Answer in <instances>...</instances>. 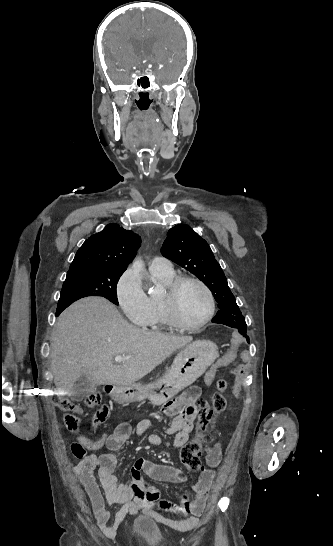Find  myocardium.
Listing matches in <instances>:
<instances>
[{
	"label": "myocardium",
	"mask_w": 333,
	"mask_h": 546,
	"mask_svg": "<svg viewBox=\"0 0 333 546\" xmlns=\"http://www.w3.org/2000/svg\"><path fill=\"white\" fill-rule=\"evenodd\" d=\"M197 284L206 294L208 309L205 316L196 324L185 323L176 310V298L181 286L185 283ZM161 307L168 323L182 331H197L206 326L214 316L216 309L215 296L209 286L201 279L193 276H178L167 286L165 294L161 297Z\"/></svg>",
	"instance_id": "1"
}]
</instances>
